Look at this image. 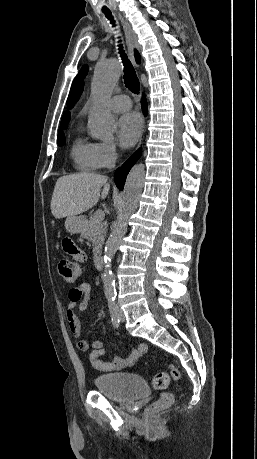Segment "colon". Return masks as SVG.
<instances>
[{
  "label": "colon",
  "instance_id": "5ec220e1",
  "mask_svg": "<svg viewBox=\"0 0 257 459\" xmlns=\"http://www.w3.org/2000/svg\"><path fill=\"white\" fill-rule=\"evenodd\" d=\"M58 271L61 277L69 284L75 283L81 274V264H69L68 259H62L58 263ZM180 381L181 372L175 367H169L168 371L156 373L150 380V385L154 389H164L167 387L170 379ZM174 401L172 393L165 392L160 398L151 404L148 409L149 413H157L168 408Z\"/></svg>",
  "mask_w": 257,
  "mask_h": 459
}]
</instances>
